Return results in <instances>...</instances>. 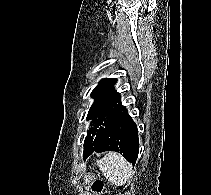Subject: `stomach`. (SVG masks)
Here are the masks:
<instances>
[{
	"label": "stomach",
	"mask_w": 211,
	"mask_h": 195,
	"mask_svg": "<svg viewBox=\"0 0 211 195\" xmlns=\"http://www.w3.org/2000/svg\"><path fill=\"white\" fill-rule=\"evenodd\" d=\"M93 178H94V176L88 175V176L86 177V182L92 181Z\"/></svg>",
	"instance_id": "stomach-1"
}]
</instances>
